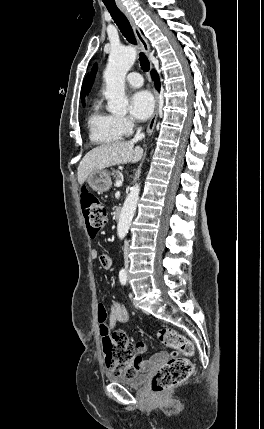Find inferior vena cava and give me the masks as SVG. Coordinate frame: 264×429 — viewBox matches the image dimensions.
<instances>
[{"label": "inferior vena cava", "instance_id": "1", "mask_svg": "<svg viewBox=\"0 0 264 429\" xmlns=\"http://www.w3.org/2000/svg\"><path fill=\"white\" fill-rule=\"evenodd\" d=\"M141 130H142V128H138V130H137L134 138L132 139L133 143H135V142H137L139 140H142L145 137L144 133H142ZM124 244H125L123 246V250H124V265H125V269H128V266H129V260H128L129 250L128 249L129 248H128L127 245L129 244V241L125 240Z\"/></svg>", "mask_w": 264, "mask_h": 429}]
</instances>
